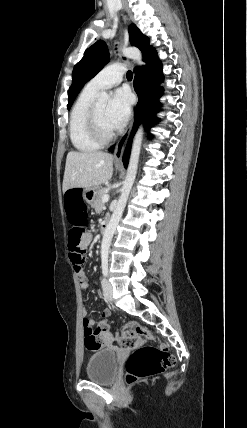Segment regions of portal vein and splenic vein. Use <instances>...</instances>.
Segmentation results:
<instances>
[{
	"label": "portal vein and splenic vein",
	"mask_w": 247,
	"mask_h": 428,
	"mask_svg": "<svg viewBox=\"0 0 247 428\" xmlns=\"http://www.w3.org/2000/svg\"><path fill=\"white\" fill-rule=\"evenodd\" d=\"M109 200V195H103L102 201L105 203Z\"/></svg>",
	"instance_id": "obj_1"
}]
</instances>
